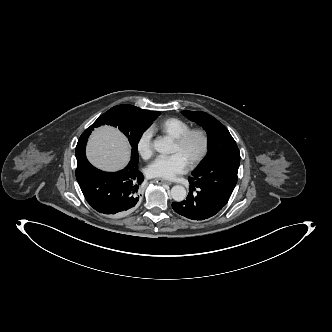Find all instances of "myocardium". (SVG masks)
Listing matches in <instances>:
<instances>
[{"mask_svg": "<svg viewBox=\"0 0 332 332\" xmlns=\"http://www.w3.org/2000/svg\"><path fill=\"white\" fill-rule=\"evenodd\" d=\"M195 135L201 138L202 144L199 152L188 161L190 166L198 165L206 157L209 151L210 139L207 131L203 128H189L175 139V144L178 147L183 148L189 139Z\"/></svg>", "mask_w": 332, "mask_h": 332, "instance_id": "f54148a6", "label": "myocardium"}]
</instances>
